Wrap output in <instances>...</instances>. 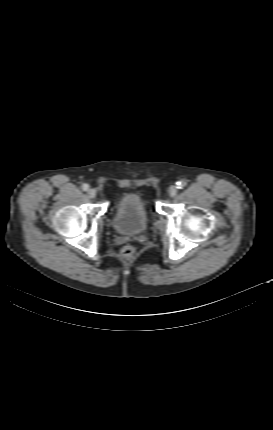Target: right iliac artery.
<instances>
[{"mask_svg":"<svg viewBox=\"0 0 273 430\" xmlns=\"http://www.w3.org/2000/svg\"><path fill=\"white\" fill-rule=\"evenodd\" d=\"M82 189H83V191H87L89 189V185L88 184H83L82 185Z\"/></svg>","mask_w":273,"mask_h":430,"instance_id":"82829eb1","label":"right iliac artery"}]
</instances>
